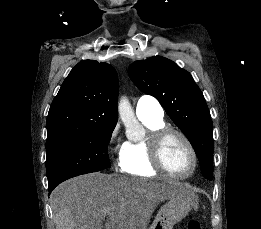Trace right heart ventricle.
I'll list each match as a JSON object with an SVG mask.
<instances>
[{"instance_id":"obj_1","label":"right heart ventricle","mask_w":261,"mask_h":229,"mask_svg":"<svg viewBox=\"0 0 261 229\" xmlns=\"http://www.w3.org/2000/svg\"><path fill=\"white\" fill-rule=\"evenodd\" d=\"M147 129L145 137L127 141L121 147L123 169L131 175L152 176L158 172L151 159V144L156 132L166 127L164 119L139 118Z\"/></svg>"}]
</instances>
